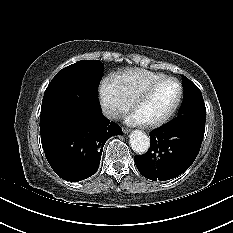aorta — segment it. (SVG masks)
<instances>
[{
    "label": "aorta",
    "mask_w": 233,
    "mask_h": 233,
    "mask_svg": "<svg viewBox=\"0 0 233 233\" xmlns=\"http://www.w3.org/2000/svg\"><path fill=\"white\" fill-rule=\"evenodd\" d=\"M129 138L131 148L136 153L143 154L149 149L150 139L143 131L133 130Z\"/></svg>",
    "instance_id": "762f6f07"
}]
</instances>
